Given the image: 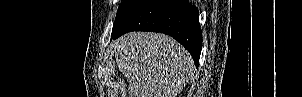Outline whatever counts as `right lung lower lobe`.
<instances>
[{
	"mask_svg": "<svg viewBox=\"0 0 302 97\" xmlns=\"http://www.w3.org/2000/svg\"><path fill=\"white\" fill-rule=\"evenodd\" d=\"M130 31H153L172 36L192 55L196 66L202 50V31L199 25L198 8L188 0H145L111 39Z\"/></svg>",
	"mask_w": 302,
	"mask_h": 97,
	"instance_id": "98d812e1",
	"label": "right lung lower lobe"
}]
</instances>
